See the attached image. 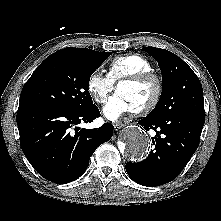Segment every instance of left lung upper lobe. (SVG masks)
<instances>
[{"label":"left lung upper lobe","mask_w":221,"mask_h":221,"mask_svg":"<svg viewBox=\"0 0 221 221\" xmlns=\"http://www.w3.org/2000/svg\"><path fill=\"white\" fill-rule=\"evenodd\" d=\"M158 62L163 88L161 97L148 115L152 118L187 112L205 117L203 89L194 71L177 55L156 47H145Z\"/></svg>","instance_id":"5c2ea615"}]
</instances>
